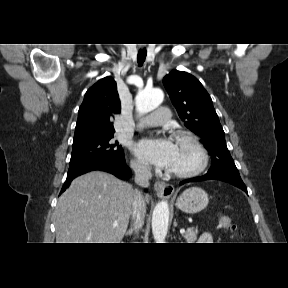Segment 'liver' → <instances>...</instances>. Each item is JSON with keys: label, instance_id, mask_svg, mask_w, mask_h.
Returning a JSON list of instances; mask_svg holds the SVG:
<instances>
[{"label": "liver", "instance_id": "6515ba94", "mask_svg": "<svg viewBox=\"0 0 288 288\" xmlns=\"http://www.w3.org/2000/svg\"><path fill=\"white\" fill-rule=\"evenodd\" d=\"M134 197L129 183L109 173L92 171L77 177L55 209L57 243H120ZM144 200L149 202L148 196Z\"/></svg>", "mask_w": 288, "mask_h": 288}]
</instances>
